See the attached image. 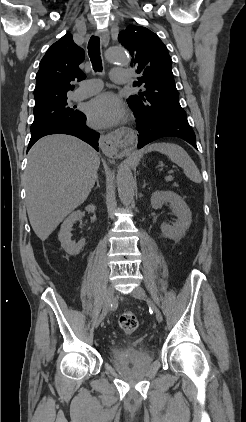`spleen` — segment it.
I'll use <instances>...</instances> for the list:
<instances>
[{"mask_svg": "<svg viewBox=\"0 0 246 422\" xmlns=\"http://www.w3.org/2000/svg\"><path fill=\"white\" fill-rule=\"evenodd\" d=\"M158 151L168 156V158L179 165L185 172L186 176L195 183H201L202 177L199 169L188 153L179 145L173 143H153L149 145L145 153Z\"/></svg>", "mask_w": 246, "mask_h": 422, "instance_id": "1", "label": "spleen"}]
</instances>
